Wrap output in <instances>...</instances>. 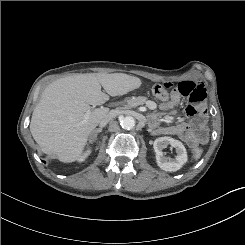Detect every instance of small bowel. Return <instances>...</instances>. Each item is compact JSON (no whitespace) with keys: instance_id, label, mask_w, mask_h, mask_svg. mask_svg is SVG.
Here are the masks:
<instances>
[{"instance_id":"1","label":"small bowel","mask_w":245,"mask_h":245,"mask_svg":"<svg viewBox=\"0 0 245 245\" xmlns=\"http://www.w3.org/2000/svg\"><path fill=\"white\" fill-rule=\"evenodd\" d=\"M163 89L166 92H173L171 100L162 104V110L172 109L184 96L192 104L185 108L183 117L184 119L194 117V119L190 123L180 122L172 126H158L156 118L152 117L151 126L154 134L175 135L191 147L205 144L208 141V113L203 104L207 96L204 85L199 80H185L179 83L169 80L163 84Z\"/></svg>"}]
</instances>
